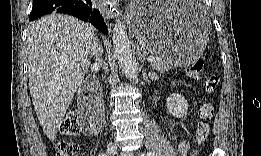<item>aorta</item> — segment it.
Listing matches in <instances>:
<instances>
[{
    "label": "aorta",
    "instance_id": "762f6f07",
    "mask_svg": "<svg viewBox=\"0 0 261 156\" xmlns=\"http://www.w3.org/2000/svg\"><path fill=\"white\" fill-rule=\"evenodd\" d=\"M112 39L119 66L128 79L136 81L138 79L139 68L131 51L126 25L122 20H116Z\"/></svg>",
    "mask_w": 261,
    "mask_h": 156
}]
</instances>
